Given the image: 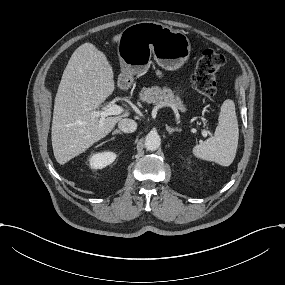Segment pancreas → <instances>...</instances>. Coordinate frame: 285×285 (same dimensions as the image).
<instances>
[{"label": "pancreas", "mask_w": 285, "mask_h": 285, "mask_svg": "<svg viewBox=\"0 0 285 285\" xmlns=\"http://www.w3.org/2000/svg\"><path fill=\"white\" fill-rule=\"evenodd\" d=\"M141 100L159 106H170L172 109L184 111L181 102L174 99V94L167 87L160 88L159 86H152L147 88L141 94Z\"/></svg>", "instance_id": "1"}]
</instances>
